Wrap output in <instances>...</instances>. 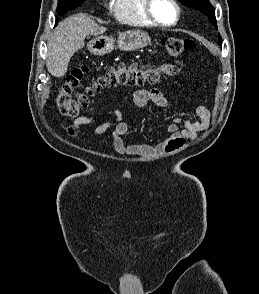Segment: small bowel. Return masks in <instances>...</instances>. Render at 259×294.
I'll return each instance as SVG.
<instances>
[{"instance_id": "obj_1", "label": "small bowel", "mask_w": 259, "mask_h": 294, "mask_svg": "<svg viewBox=\"0 0 259 294\" xmlns=\"http://www.w3.org/2000/svg\"><path fill=\"white\" fill-rule=\"evenodd\" d=\"M149 104L164 109L167 106V100L163 93L157 88L138 89L133 93L134 108L144 109ZM194 112L198 120L183 121L181 118L175 117L167 128L170 134L169 138L156 145L143 143L126 144L123 137L129 132V123L119 109L109 110V114L113 116V119L99 125L95 129V134L100 135L112 128L113 146L115 151L121 155L144 156L161 152H172L179 149L186 139L196 138L200 132L209 127L211 116L209 109L203 105H196L194 107ZM100 114V112L96 111L91 115L76 118L72 125L66 127L67 132L73 137L79 136L81 132L80 128L96 121Z\"/></svg>"}]
</instances>
